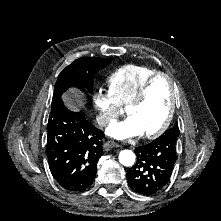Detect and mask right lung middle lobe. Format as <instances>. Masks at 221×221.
Instances as JSON below:
<instances>
[{
  "instance_id": "obj_1",
  "label": "right lung middle lobe",
  "mask_w": 221,
  "mask_h": 221,
  "mask_svg": "<svg viewBox=\"0 0 221 221\" xmlns=\"http://www.w3.org/2000/svg\"><path fill=\"white\" fill-rule=\"evenodd\" d=\"M113 58H79L65 67L55 84L52 106L61 101L62 93L69 87H77L82 91H92L93 76L112 62Z\"/></svg>"
}]
</instances>
